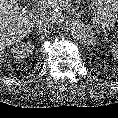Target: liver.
Here are the masks:
<instances>
[{
    "mask_svg": "<svg viewBox=\"0 0 118 118\" xmlns=\"http://www.w3.org/2000/svg\"><path fill=\"white\" fill-rule=\"evenodd\" d=\"M37 1V0H34ZM48 0H41L42 6L48 8H59L70 0H53L52 4ZM56 18L59 22V18ZM37 18L31 20L28 16L20 12V7L16 0H0V62L5 59L6 48L9 49L14 44L19 43L33 29Z\"/></svg>",
    "mask_w": 118,
    "mask_h": 118,
    "instance_id": "6515ba94",
    "label": "liver"
}]
</instances>
